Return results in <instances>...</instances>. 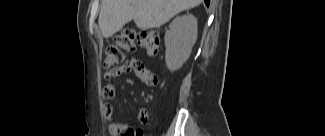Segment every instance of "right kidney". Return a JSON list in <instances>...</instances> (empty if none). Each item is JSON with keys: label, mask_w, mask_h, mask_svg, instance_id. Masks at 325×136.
<instances>
[{"label": "right kidney", "mask_w": 325, "mask_h": 136, "mask_svg": "<svg viewBox=\"0 0 325 136\" xmlns=\"http://www.w3.org/2000/svg\"><path fill=\"white\" fill-rule=\"evenodd\" d=\"M197 19L192 14L176 17L165 33V60L170 71L182 67L197 39Z\"/></svg>", "instance_id": "right-kidney-1"}]
</instances>
